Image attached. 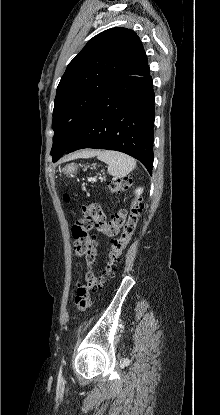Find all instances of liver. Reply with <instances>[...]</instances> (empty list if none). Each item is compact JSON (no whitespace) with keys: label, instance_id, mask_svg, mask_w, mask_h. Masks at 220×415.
Segmentation results:
<instances>
[{"label":"liver","instance_id":"6515ba94","mask_svg":"<svg viewBox=\"0 0 220 415\" xmlns=\"http://www.w3.org/2000/svg\"><path fill=\"white\" fill-rule=\"evenodd\" d=\"M95 154H96L95 151H86V152H82L80 155L86 156V157H91V156H94Z\"/></svg>","mask_w":220,"mask_h":415}]
</instances>
